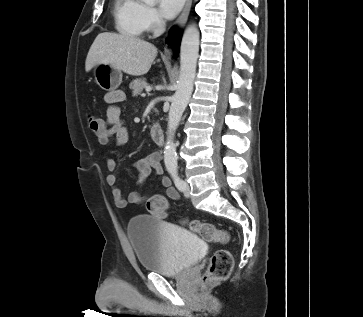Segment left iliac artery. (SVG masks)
Returning <instances> with one entry per match:
<instances>
[{"label": "left iliac artery", "mask_w": 363, "mask_h": 317, "mask_svg": "<svg viewBox=\"0 0 363 317\" xmlns=\"http://www.w3.org/2000/svg\"><path fill=\"white\" fill-rule=\"evenodd\" d=\"M171 177L173 178L175 186L178 188V190L183 191L185 182L180 178L178 175V172L176 170L170 171Z\"/></svg>", "instance_id": "left-iliac-artery-1"}]
</instances>
